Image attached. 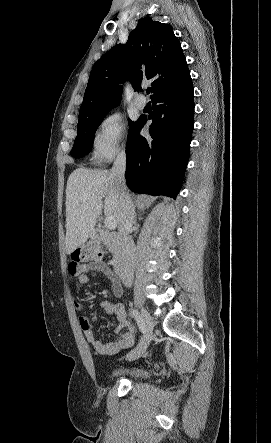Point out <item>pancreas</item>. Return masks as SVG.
Masks as SVG:
<instances>
[{
	"label": "pancreas",
	"mask_w": 271,
	"mask_h": 443,
	"mask_svg": "<svg viewBox=\"0 0 271 443\" xmlns=\"http://www.w3.org/2000/svg\"><path fill=\"white\" fill-rule=\"evenodd\" d=\"M102 241H104V245H106V247H108L109 251H115V243H113V241H111V239H109L108 235H103V237H101Z\"/></svg>",
	"instance_id": "1"
}]
</instances>
